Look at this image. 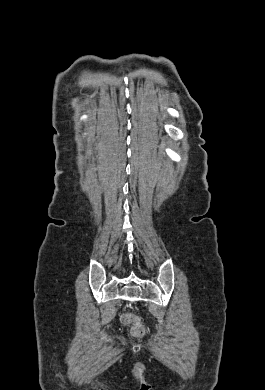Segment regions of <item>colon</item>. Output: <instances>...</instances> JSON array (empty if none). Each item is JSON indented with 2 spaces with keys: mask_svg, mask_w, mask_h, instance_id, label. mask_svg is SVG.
Returning <instances> with one entry per match:
<instances>
[{
  "mask_svg": "<svg viewBox=\"0 0 265 390\" xmlns=\"http://www.w3.org/2000/svg\"><path fill=\"white\" fill-rule=\"evenodd\" d=\"M122 322L127 325H131V335L135 338H141L145 335V328L140 319L130 313L122 316Z\"/></svg>",
  "mask_w": 265,
  "mask_h": 390,
  "instance_id": "colon-1",
  "label": "colon"
}]
</instances>
